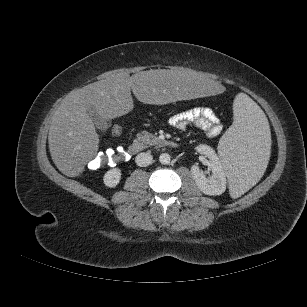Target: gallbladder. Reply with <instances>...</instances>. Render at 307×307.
Instances as JSON below:
<instances>
[{"mask_svg": "<svg viewBox=\"0 0 307 307\" xmlns=\"http://www.w3.org/2000/svg\"><path fill=\"white\" fill-rule=\"evenodd\" d=\"M88 114L96 127L100 130H106L109 127L107 120L103 118L94 108H90L88 110Z\"/></svg>", "mask_w": 307, "mask_h": 307, "instance_id": "1", "label": "gallbladder"}]
</instances>
